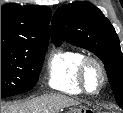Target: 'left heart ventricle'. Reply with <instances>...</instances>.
<instances>
[{"instance_id": "1", "label": "left heart ventricle", "mask_w": 123, "mask_h": 113, "mask_svg": "<svg viewBox=\"0 0 123 113\" xmlns=\"http://www.w3.org/2000/svg\"><path fill=\"white\" fill-rule=\"evenodd\" d=\"M99 73L95 67H91L88 72V83L91 89H95L99 84Z\"/></svg>"}]
</instances>
